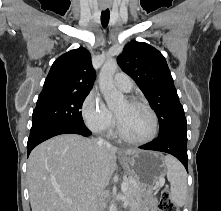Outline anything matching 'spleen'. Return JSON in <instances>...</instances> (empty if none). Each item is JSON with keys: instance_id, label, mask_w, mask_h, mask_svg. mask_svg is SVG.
<instances>
[{"instance_id": "1", "label": "spleen", "mask_w": 221, "mask_h": 211, "mask_svg": "<svg viewBox=\"0 0 221 211\" xmlns=\"http://www.w3.org/2000/svg\"><path fill=\"white\" fill-rule=\"evenodd\" d=\"M167 179L170 182V199L178 207L185 204L187 196V174L182 164L172 156H165Z\"/></svg>"}]
</instances>
